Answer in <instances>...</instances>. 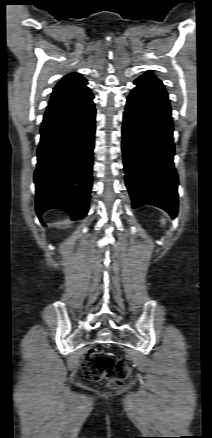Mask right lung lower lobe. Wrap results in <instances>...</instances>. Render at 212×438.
I'll use <instances>...</instances> for the list:
<instances>
[{
	"label": "right lung lower lobe",
	"mask_w": 212,
	"mask_h": 438,
	"mask_svg": "<svg viewBox=\"0 0 212 438\" xmlns=\"http://www.w3.org/2000/svg\"><path fill=\"white\" fill-rule=\"evenodd\" d=\"M92 93L47 107L37 150L36 213L68 212L72 220L87 215L92 187L95 108Z\"/></svg>",
	"instance_id": "1"
}]
</instances>
